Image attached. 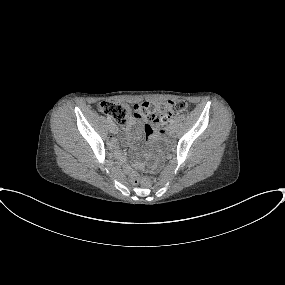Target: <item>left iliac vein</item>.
Masks as SVG:
<instances>
[{"mask_svg":"<svg viewBox=\"0 0 285 285\" xmlns=\"http://www.w3.org/2000/svg\"><path fill=\"white\" fill-rule=\"evenodd\" d=\"M166 133L170 136H172L174 134V128L172 125L167 126Z\"/></svg>","mask_w":285,"mask_h":285,"instance_id":"1","label":"left iliac vein"}]
</instances>
